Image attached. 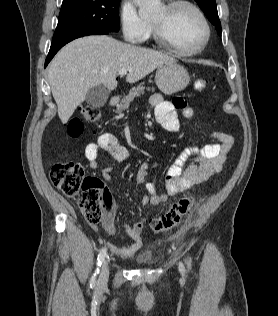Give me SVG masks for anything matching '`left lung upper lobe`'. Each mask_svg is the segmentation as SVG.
Listing matches in <instances>:
<instances>
[{"mask_svg": "<svg viewBox=\"0 0 278 316\" xmlns=\"http://www.w3.org/2000/svg\"><path fill=\"white\" fill-rule=\"evenodd\" d=\"M196 2L206 14L209 21L216 27L218 35L221 36V23L218 17L215 0H196Z\"/></svg>", "mask_w": 278, "mask_h": 316, "instance_id": "1", "label": "left lung upper lobe"}]
</instances>
